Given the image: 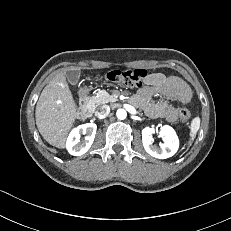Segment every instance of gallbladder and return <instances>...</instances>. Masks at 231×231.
<instances>
[{
	"label": "gallbladder",
	"instance_id": "gallbladder-1",
	"mask_svg": "<svg viewBox=\"0 0 231 231\" xmlns=\"http://www.w3.org/2000/svg\"><path fill=\"white\" fill-rule=\"evenodd\" d=\"M80 75L81 72L79 69H72L66 72L67 79L71 84H76L80 78Z\"/></svg>",
	"mask_w": 231,
	"mask_h": 231
}]
</instances>
